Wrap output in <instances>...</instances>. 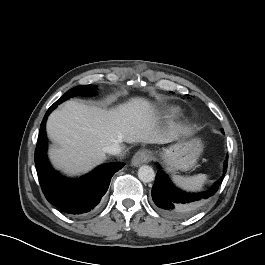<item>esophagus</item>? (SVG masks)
I'll use <instances>...</instances> for the list:
<instances>
[{
    "label": "esophagus",
    "instance_id": "1",
    "mask_svg": "<svg viewBox=\"0 0 265 265\" xmlns=\"http://www.w3.org/2000/svg\"><path fill=\"white\" fill-rule=\"evenodd\" d=\"M149 159H150V152L147 150H140L135 153L131 162L133 166H139L143 163L148 162Z\"/></svg>",
    "mask_w": 265,
    "mask_h": 265
}]
</instances>
